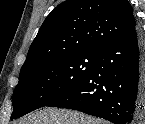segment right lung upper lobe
<instances>
[{
	"label": "right lung upper lobe",
	"mask_w": 145,
	"mask_h": 124,
	"mask_svg": "<svg viewBox=\"0 0 145 124\" xmlns=\"http://www.w3.org/2000/svg\"><path fill=\"white\" fill-rule=\"evenodd\" d=\"M137 27L127 0H67L45 19L20 76L65 55L100 53Z\"/></svg>",
	"instance_id": "obj_1"
}]
</instances>
